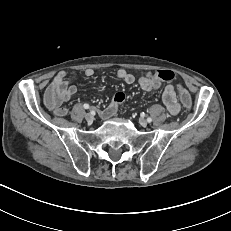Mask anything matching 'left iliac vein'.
Returning <instances> with one entry per match:
<instances>
[{
	"mask_svg": "<svg viewBox=\"0 0 231 231\" xmlns=\"http://www.w3.org/2000/svg\"><path fill=\"white\" fill-rule=\"evenodd\" d=\"M139 123H140V125L141 126H143V127H146L147 126V120L146 119H144V118H140L139 119Z\"/></svg>",
	"mask_w": 231,
	"mask_h": 231,
	"instance_id": "obj_1",
	"label": "left iliac vein"
}]
</instances>
